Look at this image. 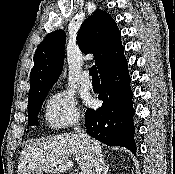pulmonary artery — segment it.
<instances>
[{"mask_svg":"<svg viewBox=\"0 0 175 174\" xmlns=\"http://www.w3.org/2000/svg\"><path fill=\"white\" fill-rule=\"evenodd\" d=\"M80 85L82 86V88L84 89H91L92 88V82L89 79V74L88 72H83L81 75V79H80Z\"/></svg>","mask_w":175,"mask_h":174,"instance_id":"obj_1","label":"pulmonary artery"}]
</instances>
